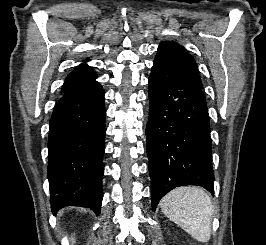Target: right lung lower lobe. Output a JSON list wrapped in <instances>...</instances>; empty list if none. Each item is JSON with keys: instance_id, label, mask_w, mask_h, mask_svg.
I'll list each match as a JSON object with an SVG mask.
<instances>
[{"instance_id": "obj_1", "label": "right lung lower lobe", "mask_w": 266, "mask_h": 245, "mask_svg": "<svg viewBox=\"0 0 266 245\" xmlns=\"http://www.w3.org/2000/svg\"><path fill=\"white\" fill-rule=\"evenodd\" d=\"M105 116L104 91L97 81L70 88L56 103L48 139L53 213L66 205L100 213Z\"/></svg>"}]
</instances>
